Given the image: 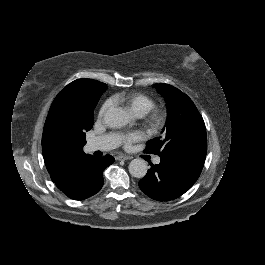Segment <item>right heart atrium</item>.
Segmentation results:
<instances>
[{"label": "right heart atrium", "mask_w": 265, "mask_h": 265, "mask_svg": "<svg viewBox=\"0 0 265 265\" xmlns=\"http://www.w3.org/2000/svg\"><path fill=\"white\" fill-rule=\"evenodd\" d=\"M113 101L112 100H106L100 107L98 112V117L103 118L106 116V114L113 108Z\"/></svg>", "instance_id": "obj_1"}]
</instances>
